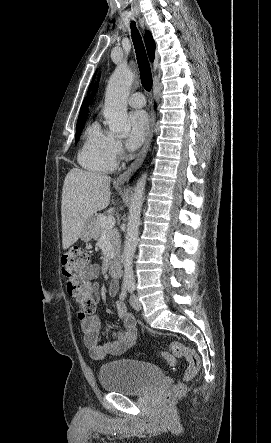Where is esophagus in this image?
<instances>
[{"instance_id":"esophagus-1","label":"esophagus","mask_w":271,"mask_h":443,"mask_svg":"<svg viewBox=\"0 0 271 443\" xmlns=\"http://www.w3.org/2000/svg\"><path fill=\"white\" fill-rule=\"evenodd\" d=\"M138 18H139V22H140L141 27L144 28V23L141 20L139 15H138ZM155 119H156L155 113L153 111H151L148 134H147V138L145 140V143H144L142 149L140 150V152L138 153V156L136 157V159L133 161V163H131L130 167H128L125 172L121 173V175H119L115 179L116 183H119V184L125 183V181L128 180V178L131 175H133V173H135L141 167L142 163L144 162V160L147 156L149 148L151 146V140H152L153 132H154Z\"/></svg>"}]
</instances>
